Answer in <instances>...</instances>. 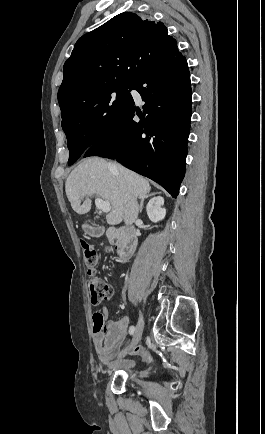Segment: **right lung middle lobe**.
<instances>
[{"label": "right lung middle lobe", "mask_w": 265, "mask_h": 434, "mask_svg": "<svg viewBox=\"0 0 265 434\" xmlns=\"http://www.w3.org/2000/svg\"><path fill=\"white\" fill-rule=\"evenodd\" d=\"M134 81L109 78L58 97L62 128L72 165L95 142L114 128L133 102L128 89Z\"/></svg>", "instance_id": "obj_1"}]
</instances>
